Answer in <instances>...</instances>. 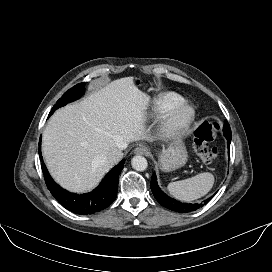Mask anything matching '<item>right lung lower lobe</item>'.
<instances>
[{"label":"right lung lower lobe","mask_w":272,"mask_h":272,"mask_svg":"<svg viewBox=\"0 0 272 272\" xmlns=\"http://www.w3.org/2000/svg\"><path fill=\"white\" fill-rule=\"evenodd\" d=\"M41 138L39 141V155L42 161L41 167L48 189L53 197L66 209L76 214H93L107 208L117 196L118 178L124 167L123 159L118 165L110 170L99 186L92 192L86 194H74L57 185L48 173L41 156Z\"/></svg>","instance_id":"obj_1"}]
</instances>
